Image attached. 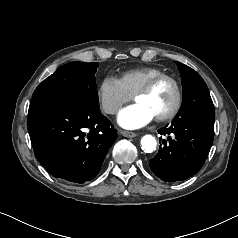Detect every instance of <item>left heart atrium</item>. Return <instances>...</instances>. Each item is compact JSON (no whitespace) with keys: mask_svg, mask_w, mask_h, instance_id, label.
<instances>
[{"mask_svg":"<svg viewBox=\"0 0 238 238\" xmlns=\"http://www.w3.org/2000/svg\"><path fill=\"white\" fill-rule=\"evenodd\" d=\"M155 118L154 114L140 103H134L122 109L117 121L125 129H138Z\"/></svg>","mask_w":238,"mask_h":238,"instance_id":"39dd6f15","label":"left heart atrium"}]
</instances>
